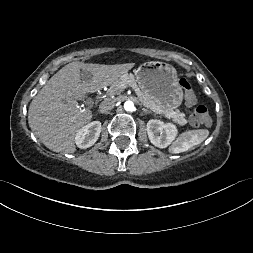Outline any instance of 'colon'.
<instances>
[{
  "instance_id": "1",
  "label": "colon",
  "mask_w": 253,
  "mask_h": 253,
  "mask_svg": "<svg viewBox=\"0 0 253 253\" xmlns=\"http://www.w3.org/2000/svg\"><path fill=\"white\" fill-rule=\"evenodd\" d=\"M180 88L183 91L185 99L190 103V104H195L197 101L196 95L191 87L190 82L182 78L179 81ZM192 125L194 126H207L211 122V116L209 113V110L206 106L204 105H198L195 107L191 119H190Z\"/></svg>"
}]
</instances>
